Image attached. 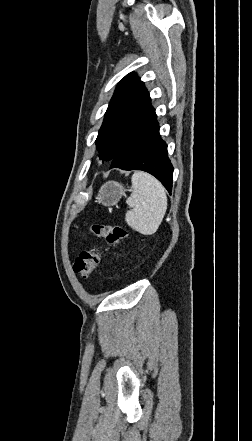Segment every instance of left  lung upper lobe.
I'll return each mask as SVG.
<instances>
[{"label": "left lung upper lobe", "instance_id": "left-lung-upper-lobe-1", "mask_svg": "<svg viewBox=\"0 0 252 441\" xmlns=\"http://www.w3.org/2000/svg\"><path fill=\"white\" fill-rule=\"evenodd\" d=\"M144 83L133 73L117 86L96 139L100 159L112 161L129 128L149 102Z\"/></svg>", "mask_w": 252, "mask_h": 441}]
</instances>
